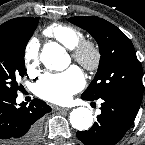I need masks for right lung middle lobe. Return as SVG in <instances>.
<instances>
[{
	"instance_id": "1",
	"label": "right lung middle lobe",
	"mask_w": 145,
	"mask_h": 145,
	"mask_svg": "<svg viewBox=\"0 0 145 145\" xmlns=\"http://www.w3.org/2000/svg\"><path fill=\"white\" fill-rule=\"evenodd\" d=\"M38 19L14 35L0 36V91L17 93L20 89L17 78L25 74V46L37 27Z\"/></svg>"
}]
</instances>
